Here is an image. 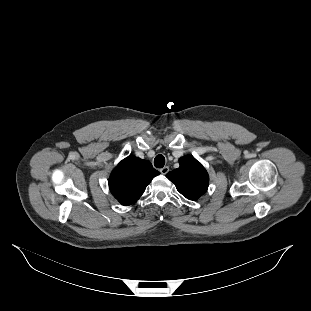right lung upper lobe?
<instances>
[{
	"mask_svg": "<svg viewBox=\"0 0 311 311\" xmlns=\"http://www.w3.org/2000/svg\"><path fill=\"white\" fill-rule=\"evenodd\" d=\"M159 174L149 161L130 155L111 173L110 191L122 205H131L141 197L146 186Z\"/></svg>",
	"mask_w": 311,
	"mask_h": 311,
	"instance_id": "right-lung-upper-lobe-1",
	"label": "right lung upper lobe"
}]
</instances>
